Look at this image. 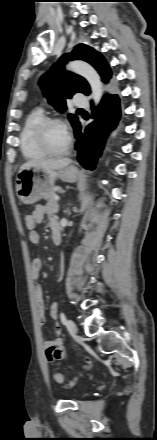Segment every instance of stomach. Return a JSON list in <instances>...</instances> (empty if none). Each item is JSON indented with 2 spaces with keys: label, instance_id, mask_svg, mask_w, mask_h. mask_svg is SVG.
Returning a JSON list of instances; mask_svg holds the SVG:
<instances>
[{
  "label": "stomach",
  "instance_id": "0dacf381",
  "mask_svg": "<svg viewBox=\"0 0 157 440\" xmlns=\"http://www.w3.org/2000/svg\"><path fill=\"white\" fill-rule=\"evenodd\" d=\"M78 175L79 171L73 166L49 171L36 167L24 169L16 177V194L23 204L31 205L49 194L56 179L73 183Z\"/></svg>",
  "mask_w": 157,
  "mask_h": 440
}]
</instances>
